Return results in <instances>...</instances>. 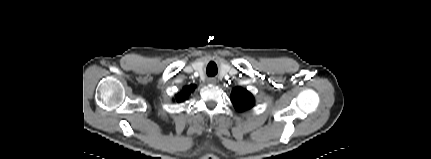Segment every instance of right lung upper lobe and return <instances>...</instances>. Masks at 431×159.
Segmentation results:
<instances>
[{"instance_id": "right-lung-upper-lobe-1", "label": "right lung upper lobe", "mask_w": 431, "mask_h": 159, "mask_svg": "<svg viewBox=\"0 0 431 159\" xmlns=\"http://www.w3.org/2000/svg\"><path fill=\"white\" fill-rule=\"evenodd\" d=\"M193 89H194V87L192 85L189 87H185L183 89V91L176 96L177 100L178 101L183 100L185 97H187L192 92Z\"/></svg>"}]
</instances>
